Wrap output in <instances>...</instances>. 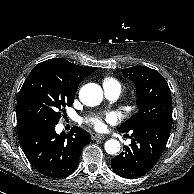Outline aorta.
<instances>
[{
	"label": "aorta",
	"instance_id": "1",
	"mask_svg": "<svg viewBox=\"0 0 194 194\" xmlns=\"http://www.w3.org/2000/svg\"><path fill=\"white\" fill-rule=\"evenodd\" d=\"M79 98L81 102L87 106H96L102 101L103 91L99 85L89 83L81 88ZM104 147L108 154L113 155L120 151L121 145L118 140L110 139L105 142Z\"/></svg>",
	"mask_w": 194,
	"mask_h": 194
}]
</instances>
